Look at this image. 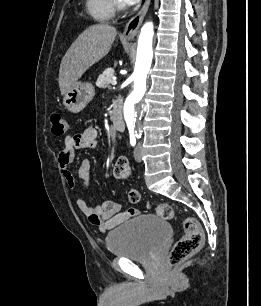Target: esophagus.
<instances>
[{
  "label": "esophagus",
  "instance_id": "esophagus-1",
  "mask_svg": "<svg viewBox=\"0 0 261 306\" xmlns=\"http://www.w3.org/2000/svg\"><path fill=\"white\" fill-rule=\"evenodd\" d=\"M151 0H145L143 6L139 10V12L133 16L129 22L126 24L125 29L122 33V38L126 40H131L136 35L147 11L149 8Z\"/></svg>",
  "mask_w": 261,
  "mask_h": 306
}]
</instances>
